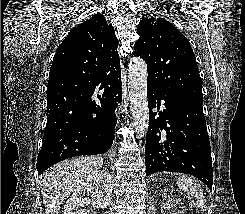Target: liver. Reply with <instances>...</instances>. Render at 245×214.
I'll return each mask as SVG.
<instances>
[{
  "label": "liver",
  "instance_id": "obj_1",
  "mask_svg": "<svg viewBox=\"0 0 245 214\" xmlns=\"http://www.w3.org/2000/svg\"><path fill=\"white\" fill-rule=\"evenodd\" d=\"M102 165V157L86 156L63 161L48 169L39 181L46 214H59L63 200Z\"/></svg>",
  "mask_w": 245,
  "mask_h": 214
}]
</instances>
